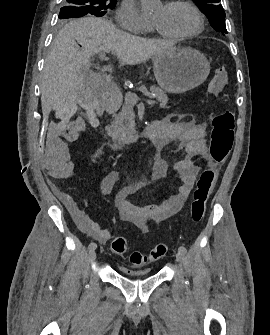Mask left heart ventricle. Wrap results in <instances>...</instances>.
Listing matches in <instances>:
<instances>
[{
  "instance_id": "b2bd125f",
  "label": "left heart ventricle",
  "mask_w": 270,
  "mask_h": 335,
  "mask_svg": "<svg viewBox=\"0 0 270 335\" xmlns=\"http://www.w3.org/2000/svg\"><path fill=\"white\" fill-rule=\"evenodd\" d=\"M149 21L161 32L171 35L190 32L197 26L196 16L184 4L177 7L162 5L155 11Z\"/></svg>"
}]
</instances>
